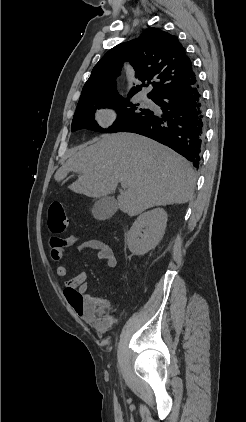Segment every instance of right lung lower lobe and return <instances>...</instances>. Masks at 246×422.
I'll list each match as a JSON object with an SVG mask.
<instances>
[{
	"label": "right lung lower lobe",
	"mask_w": 246,
	"mask_h": 422,
	"mask_svg": "<svg viewBox=\"0 0 246 422\" xmlns=\"http://www.w3.org/2000/svg\"><path fill=\"white\" fill-rule=\"evenodd\" d=\"M162 114L150 117L121 132L154 139L183 155L199 168L205 137L204 107L198 81L176 87L153 99Z\"/></svg>",
	"instance_id": "right-lung-lower-lobe-1"
}]
</instances>
